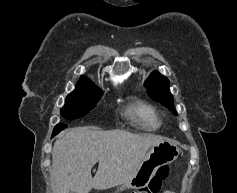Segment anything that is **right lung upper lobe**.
<instances>
[{
	"label": "right lung upper lobe",
	"mask_w": 237,
	"mask_h": 193,
	"mask_svg": "<svg viewBox=\"0 0 237 193\" xmlns=\"http://www.w3.org/2000/svg\"><path fill=\"white\" fill-rule=\"evenodd\" d=\"M76 89L80 90H99L89 79L82 76L81 80L77 83Z\"/></svg>",
	"instance_id": "cb5924a9"
}]
</instances>
